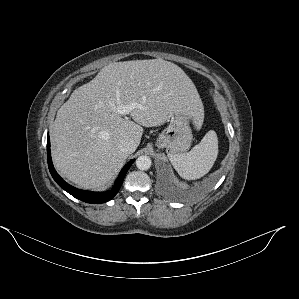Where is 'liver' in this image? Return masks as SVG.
Returning a JSON list of instances; mask_svg holds the SVG:
<instances>
[{
	"label": "liver",
	"mask_w": 299,
	"mask_h": 299,
	"mask_svg": "<svg viewBox=\"0 0 299 299\" xmlns=\"http://www.w3.org/2000/svg\"><path fill=\"white\" fill-rule=\"evenodd\" d=\"M136 103L130 120L118 105ZM188 109L197 129L204 108L186 73L163 59L110 63L90 82L75 89L57 111L51 128L55 168L84 189L108 183L129 154L120 142L132 139L138 146L143 127L164 124L176 112Z\"/></svg>",
	"instance_id": "6515ba94"
}]
</instances>
